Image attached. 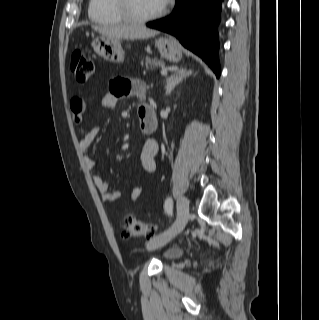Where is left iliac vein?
Returning a JSON list of instances; mask_svg holds the SVG:
<instances>
[{
  "label": "left iliac vein",
  "instance_id": "obj_1",
  "mask_svg": "<svg viewBox=\"0 0 319 320\" xmlns=\"http://www.w3.org/2000/svg\"><path fill=\"white\" fill-rule=\"evenodd\" d=\"M189 219V204L184 196L177 201V219L170 229L150 240L147 247L150 250L158 249L170 242L186 226Z\"/></svg>",
  "mask_w": 319,
  "mask_h": 320
}]
</instances>
